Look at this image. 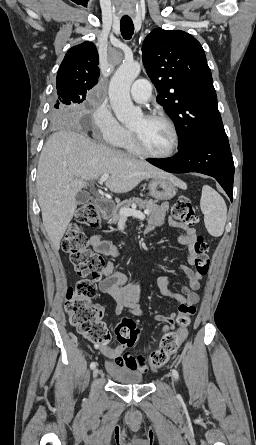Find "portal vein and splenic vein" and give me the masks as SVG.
I'll use <instances>...</instances> for the list:
<instances>
[{
  "label": "portal vein and splenic vein",
  "instance_id": "18ae733b",
  "mask_svg": "<svg viewBox=\"0 0 256 445\" xmlns=\"http://www.w3.org/2000/svg\"><path fill=\"white\" fill-rule=\"evenodd\" d=\"M108 178H109V174L108 173H104L100 177V179L98 180V183L103 184ZM148 212L149 211H147V210L144 211V213H143V212L135 210V209H129V208L126 209V208H124V209L120 210V215H121V217L133 216V217L138 218L140 220H144L145 219V214H148Z\"/></svg>",
  "mask_w": 256,
  "mask_h": 445
}]
</instances>
